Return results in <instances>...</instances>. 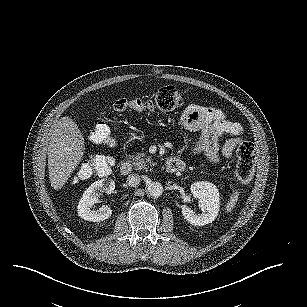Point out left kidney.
Returning <instances> with one entry per match:
<instances>
[{"label":"left kidney","instance_id":"obj_1","mask_svg":"<svg viewBox=\"0 0 307 307\" xmlns=\"http://www.w3.org/2000/svg\"><path fill=\"white\" fill-rule=\"evenodd\" d=\"M194 198L199 200L201 214L195 213L190 207L182 206V215L190 224L203 226L215 220L220 208L219 191L217 187L208 181L195 182L190 187ZM187 199V197L185 198Z\"/></svg>","mask_w":307,"mask_h":307}]
</instances>
